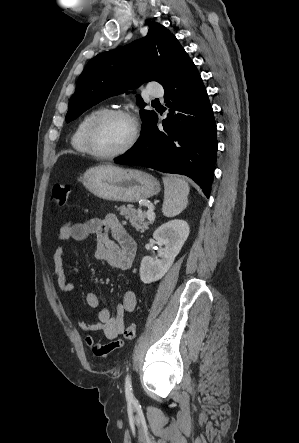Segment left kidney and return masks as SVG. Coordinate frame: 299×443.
Returning a JSON list of instances; mask_svg holds the SVG:
<instances>
[{"instance_id": "5707ae66", "label": "left kidney", "mask_w": 299, "mask_h": 443, "mask_svg": "<svg viewBox=\"0 0 299 443\" xmlns=\"http://www.w3.org/2000/svg\"><path fill=\"white\" fill-rule=\"evenodd\" d=\"M189 232V225L184 220H172L155 230L153 238L164 246V250L160 259L143 257L140 266V279L143 283L155 282L165 275L187 240Z\"/></svg>"}]
</instances>
